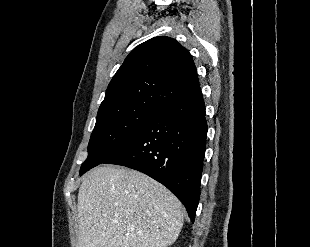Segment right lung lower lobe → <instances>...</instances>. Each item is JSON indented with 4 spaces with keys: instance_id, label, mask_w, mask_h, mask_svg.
I'll list each match as a JSON object with an SVG mask.
<instances>
[{
    "instance_id": "98d812e1",
    "label": "right lung lower lobe",
    "mask_w": 310,
    "mask_h": 247,
    "mask_svg": "<svg viewBox=\"0 0 310 247\" xmlns=\"http://www.w3.org/2000/svg\"><path fill=\"white\" fill-rule=\"evenodd\" d=\"M206 136L205 104L198 90L159 110L103 163L138 170L162 183L194 222Z\"/></svg>"
}]
</instances>
